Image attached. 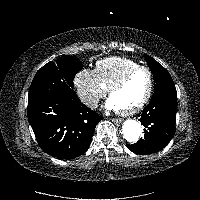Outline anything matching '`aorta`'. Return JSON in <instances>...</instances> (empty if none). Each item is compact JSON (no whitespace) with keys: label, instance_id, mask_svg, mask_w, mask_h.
I'll list each match as a JSON object with an SVG mask.
<instances>
[{"label":"aorta","instance_id":"762f6f07","mask_svg":"<svg viewBox=\"0 0 200 200\" xmlns=\"http://www.w3.org/2000/svg\"><path fill=\"white\" fill-rule=\"evenodd\" d=\"M122 133L126 141L134 143L141 135L140 124L134 119L126 120L122 125Z\"/></svg>","mask_w":200,"mask_h":200}]
</instances>
